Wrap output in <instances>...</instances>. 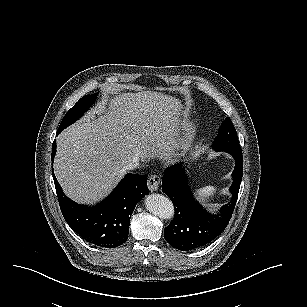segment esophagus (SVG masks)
Wrapping results in <instances>:
<instances>
[{
  "mask_svg": "<svg viewBox=\"0 0 307 307\" xmlns=\"http://www.w3.org/2000/svg\"><path fill=\"white\" fill-rule=\"evenodd\" d=\"M161 178L158 175H151L148 179L147 185L150 191H157L159 189Z\"/></svg>",
  "mask_w": 307,
  "mask_h": 307,
  "instance_id": "esophagus-1",
  "label": "esophagus"
}]
</instances>
